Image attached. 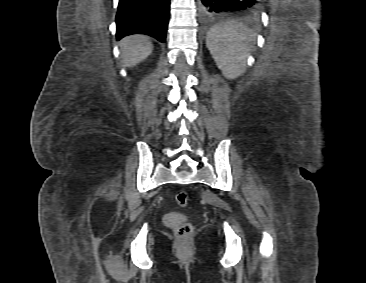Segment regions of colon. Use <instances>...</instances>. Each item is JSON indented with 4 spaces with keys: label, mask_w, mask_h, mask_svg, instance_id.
<instances>
[{
    "label": "colon",
    "mask_w": 366,
    "mask_h": 283,
    "mask_svg": "<svg viewBox=\"0 0 366 283\" xmlns=\"http://www.w3.org/2000/svg\"><path fill=\"white\" fill-rule=\"evenodd\" d=\"M176 202L180 207H187L190 197L186 191L180 190L176 194ZM192 227L189 223H182L174 228L176 237L183 241L190 235Z\"/></svg>",
    "instance_id": "colon-1"
}]
</instances>
